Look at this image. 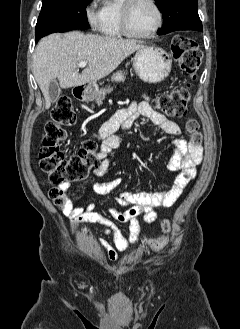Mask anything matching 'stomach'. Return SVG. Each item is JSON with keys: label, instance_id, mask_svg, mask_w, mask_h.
<instances>
[{"label": "stomach", "instance_id": "stomach-1", "mask_svg": "<svg viewBox=\"0 0 240 329\" xmlns=\"http://www.w3.org/2000/svg\"><path fill=\"white\" fill-rule=\"evenodd\" d=\"M172 60L168 53L161 48L144 46L137 50L133 67L141 80L148 83H158L164 80L171 71ZM122 72H116L112 80L123 81ZM98 85L96 82L88 83L84 88L83 98L92 100L96 97Z\"/></svg>", "mask_w": 240, "mask_h": 329}]
</instances>
